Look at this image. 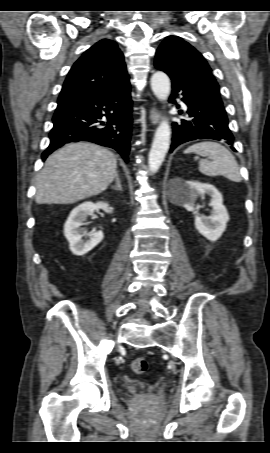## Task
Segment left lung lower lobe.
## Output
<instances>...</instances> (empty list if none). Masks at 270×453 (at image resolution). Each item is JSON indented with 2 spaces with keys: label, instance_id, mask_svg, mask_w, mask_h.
Here are the masks:
<instances>
[{
  "label": "left lung lower lobe",
  "instance_id": "0a47b994",
  "mask_svg": "<svg viewBox=\"0 0 270 453\" xmlns=\"http://www.w3.org/2000/svg\"><path fill=\"white\" fill-rule=\"evenodd\" d=\"M181 92L182 101L188 106L189 120L173 123L172 152L178 145L196 139L225 141L233 147L234 137L228 127V119L223 105L217 101L196 95L180 83L172 80L170 101Z\"/></svg>",
  "mask_w": 270,
  "mask_h": 453
}]
</instances>
